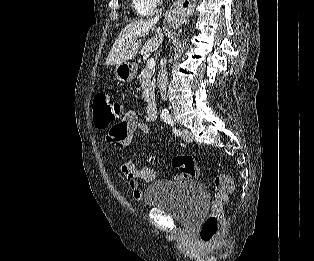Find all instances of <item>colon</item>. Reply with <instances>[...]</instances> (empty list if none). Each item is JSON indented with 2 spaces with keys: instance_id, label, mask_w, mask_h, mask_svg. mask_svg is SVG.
<instances>
[{
  "instance_id": "colon-1",
  "label": "colon",
  "mask_w": 314,
  "mask_h": 261,
  "mask_svg": "<svg viewBox=\"0 0 314 261\" xmlns=\"http://www.w3.org/2000/svg\"><path fill=\"white\" fill-rule=\"evenodd\" d=\"M93 117L96 127L100 129L108 128L111 125H113V128L118 129L122 122L121 105L108 93L99 92L93 98ZM172 165L179 172L176 176L178 179L194 178L198 173L195 160L188 155L174 157ZM214 185L217 194L212 205V213L199 228V237L206 243L217 240L224 221L223 207L235 188L233 181L223 173L215 176Z\"/></svg>"
}]
</instances>
